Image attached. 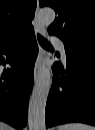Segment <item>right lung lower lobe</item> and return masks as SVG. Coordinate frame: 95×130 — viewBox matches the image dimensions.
<instances>
[{"label": "right lung lower lobe", "mask_w": 95, "mask_h": 130, "mask_svg": "<svg viewBox=\"0 0 95 130\" xmlns=\"http://www.w3.org/2000/svg\"><path fill=\"white\" fill-rule=\"evenodd\" d=\"M3 54L13 56L10 57L12 68L0 73V119L15 128H22L27 124L28 99L38 54L33 30L19 40L0 47V64L5 65Z\"/></svg>", "instance_id": "1"}]
</instances>
